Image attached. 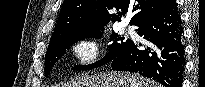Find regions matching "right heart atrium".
<instances>
[{
  "label": "right heart atrium",
  "mask_w": 205,
  "mask_h": 87,
  "mask_svg": "<svg viewBox=\"0 0 205 87\" xmlns=\"http://www.w3.org/2000/svg\"><path fill=\"white\" fill-rule=\"evenodd\" d=\"M100 52V44L94 37H85L72 47V53L80 65L93 64L98 60Z\"/></svg>",
  "instance_id": "right-heart-atrium-1"
}]
</instances>
